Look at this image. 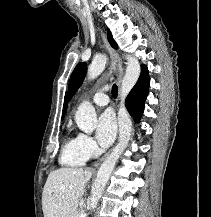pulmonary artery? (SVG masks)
<instances>
[{
  "label": "pulmonary artery",
  "instance_id": "obj_1",
  "mask_svg": "<svg viewBox=\"0 0 211 217\" xmlns=\"http://www.w3.org/2000/svg\"><path fill=\"white\" fill-rule=\"evenodd\" d=\"M109 90L108 85H104L102 88L97 90L92 96V101L97 106H106L109 102L107 91Z\"/></svg>",
  "mask_w": 211,
  "mask_h": 217
}]
</instances>
